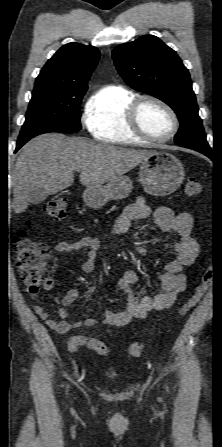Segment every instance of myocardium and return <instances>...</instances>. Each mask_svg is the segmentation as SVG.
<instances>
[{"instance_id":"1","label":"myocardium","mask_w":222,"mask_h":447,"mask_svg":"<svg viewBox=\"0 0 222 447\" xmlns=\"http://www.w3.org/2000/svg\"><path fill=\"white\" fill-rule=\"evenodd\" d=\"M146 102H152L163 108L171 118L172 121V129L170 133L163 138H155L148 134L143 127L141 126L139 120V112L142 105ZM127 119L131 129L141 138L148 142L152 143H164L172 139L179 130V120L177 114L172 109V107L166 103L164 100L153 96V95H142L140 97H136L129 106L127 111Z\"/></svg>"}]
</instances>
